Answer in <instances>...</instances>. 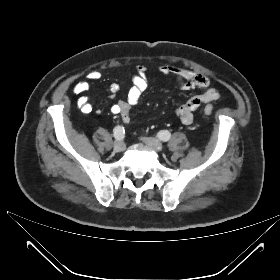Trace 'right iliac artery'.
Here are the masks:
<instances>
[{"instance_id": "82829eb1", "label": "right iliac artery", "mask_w": 280, "mask_h": 280, "mask_svg": "<svg viewBox=\"0 0 280 280\" xmlns=\"http://www.w3.org/2000/svg\"><path fill=\"white\" fill-rule=\"evenodd\" d=\"M114 137L117 140H123L125 138V129L123 126H117L113 130Z\"/></svg>"}]
</instances>
